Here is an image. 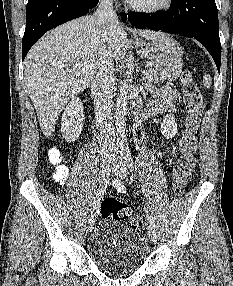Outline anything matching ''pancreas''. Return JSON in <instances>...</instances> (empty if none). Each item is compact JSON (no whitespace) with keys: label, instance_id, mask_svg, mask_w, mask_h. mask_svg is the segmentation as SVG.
<instances>
[{"label":"pancreas","instance_id":"pancreas-1","mask_svg":"<svg viewBox=\"0 0 233 286\" xmlns=\"http://www.w3.org/2000/svg\"><path fill=\"white\" fill-rule=\"evenodd\" d=\"M148 71L149 75H146L144 79L154 83H162L164 80H175L181 73L180 68H167L158 65H151Z\"/></svg>","mask_w":233,"mask_h":286}]
</instances>
